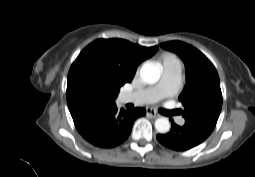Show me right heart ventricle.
I'll return each mask as SVG.
<instances>
[{"label": "right heart ventricle", "instance_id": "1", "mask_svg": "<svg viewBox=\"0 0 255 177\" xmlns=\"http://www.w3.org/2000/svg\"><path fill=\"white\" fill-rule=\"evenodd\" d=\"M161 67L163 71L180 70L182 68L181 61L173 53H166L161 57Z\"/></svg>", "mask_w": 255, "mask_h": 177}]
</instances>
